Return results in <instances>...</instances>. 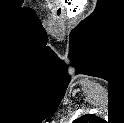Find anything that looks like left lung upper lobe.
<instances>
[{"instance_id":"1","label":"left lung upper lobe","mask_w":124,"mask_h":123,"mask_svg":"<svg viewBox=\"0 0 124 123\" xmlns=\"http://www.w3.org/2000/svg\"><path fill=\"white\" fill-rule=\"evenodd\" d=\"M96 116L92 115V114H86L78 119H75L73 122L75 123H88L89 121H91L92 119H95Z\"/></svg>"}]
</instances>
